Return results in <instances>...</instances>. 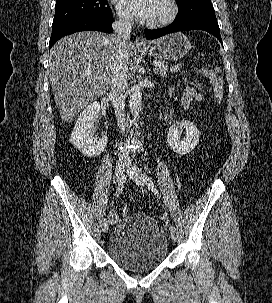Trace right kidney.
I'll use <instances>...</instances> for the list:
<instances>
[{"label":"right kidney","mask_w":272,"mask_h":303,"mask_svg":"<svg viewBox=\"0 0 272 303\" xmlns=\"http://www.w3.org/2000/svg\"><path fill=\"white\" fill-rule=\"evenodd\" d=\"M99 114L100 104L98 102L95 101L88 105L76 121L70 137V142L74 147L87 157L100 155L108 142L106 135H103L99 140L93 137L94 122L98 120Z\"/></svg>","instance_id":"right-kidney-1"}]
</instances>
